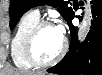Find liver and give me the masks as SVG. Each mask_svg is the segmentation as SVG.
<instances>
[{
	"label": "liver",
	"mask_w": 102,
	"mask_h": 75,
	"mask_svg": "<svg viewBox=\"0 0 102 75\" xmlns=\"http://www.w3.org/2000/svg\"><path fill=\"white\" fill-rule=\"evenodd\" d=\"M7 75H29V74H26L25 72L22 71L10 70L7 72Z\"/></svg>",
	"instance_id": "obj_1"
}]
</instances>
